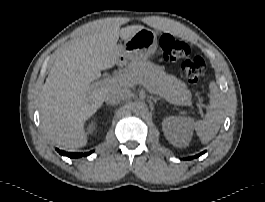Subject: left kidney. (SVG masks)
Returning <instances> with one entry per match:
<instances>
[{"instance_id": "left-kidney-1", "label": "left kidney", "mask_w": 265, "mask_h": 202, "mask_svg": "<svg viewBox=\"0 0 265 202\" xmlns=\"http://www.w3.org/2000/svg\"><path fill=\"white\" fill-rule=\"evenodd\" d=\"M166 139L175 147L185 148L192 138L191 120L183 117L170 116L162 122Z\"/></svg>"}]
</instances>
